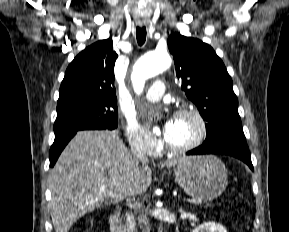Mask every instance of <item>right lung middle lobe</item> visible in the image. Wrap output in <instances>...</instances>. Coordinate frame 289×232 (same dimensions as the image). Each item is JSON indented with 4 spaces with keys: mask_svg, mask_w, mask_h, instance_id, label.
<instances>
[{
    "mask_svg": "<svg viewBox=\"0 0 289 232\" xmlns=\"http://www.w3.org/2000/svg\"><path fill=\"white\" fill-rule=\"evenodd\" d=\"M118 125L117 102L76 100L57 106L55 136L88 129H115Z\"/></svg>",
    "mask_w": 289,
    "mask_h": 232,
    "instance_id": "obj_1",
    "label": "right lung middle lobe"
}]
</instances>
